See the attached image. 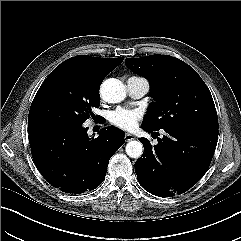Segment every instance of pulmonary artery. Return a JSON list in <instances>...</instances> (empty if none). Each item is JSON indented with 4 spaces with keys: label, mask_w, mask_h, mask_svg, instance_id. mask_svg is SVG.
I'll use <instances>...</instances> for the list:
<instances>
[{
    "label": "pulmonary artery",
    "mask_w": 241,
    "mask_h": 241,
    "mask_svg": "<svg viewBox=\"0 0 241 241\" xmlns=\"http://www.w3.org/2000/svg\"><path fill=\"white\" fill-rule=\"evenodd\" d=\"M126 87L129 95L138 99L149 91L150 85L147 79L133 76L126 81Z\"/></svg>",
    "instance_id": "e3ab8cb5"
}]
</instances>
